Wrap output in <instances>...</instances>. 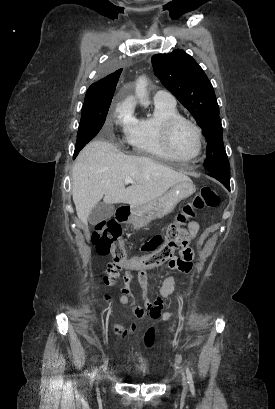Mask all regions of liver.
Instances as JSON below:
<instances>
[{"mask_svg": "<svg viewBox=\"0 0 275 409\" xmlns=\"http://www.w3.org/2000/svg\"><path fill=\"white\" fill-rule=\"evenodd\" d=\"M127 176H132L135 184L125 186ZM188 178L148 156L123 154L111 142L96 138L79 152L72 170V196L77 217L87 225L92 209L101 198L107 205L112 202H127L133 207L145 205L162 196L176 182Z\"/></svg>", "mask_w": 275, "mask_h": 409, "instance_id": "obj_1", "label": "liver"}]
</instances>
